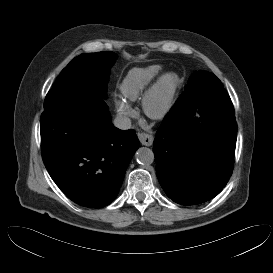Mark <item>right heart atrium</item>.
<instances>
[{
  "mask_svg": "<svg viewBox=\"0 0 273 273\" xmlns=\"http://www.w3.org/2000/svg\"><path fill=\"white\" fill-rule=\"evenodd\" d=\"M115 106L118 114L122 118H132L137 115L136 110L132 107V105L126 99H117L115 101Z\"/></svg>",
  "mask_w": 273,
  "mask_h": 273,
  "instance_id": "d8ad5b80",
  "label": "right heart atrium"
}]
</instances>
